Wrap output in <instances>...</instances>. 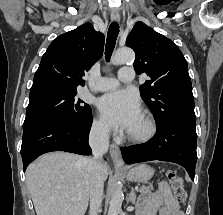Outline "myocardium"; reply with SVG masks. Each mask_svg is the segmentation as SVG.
Segmentation results:
<instances>
[{
    "mask_svg": "<svg viewBox=\"0 0 223 215\" xmlns=\"http://www.w3.org/2000/svg\"><path fill=\"white\" fill-rule=\"evenodd\" d=\"M140 115L145 124V130L142 133H133L127 131L125 135H120L117 137L118 141L129 142L133 144H144L153 139L157 131L155 121L146 112H141Z\"/></svg>",
    "mask_w": 223,
    "mask_h": 215,
    "instance_id": "obj_1",
    "label": "myocardium"
}]
</instances>
